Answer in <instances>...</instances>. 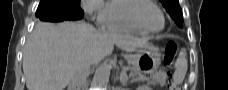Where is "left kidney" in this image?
I'll return each mask as SVG.
<instances>
[{"instance_id": "1", "label": "left kidney", "mask_w": 228, "mask_h": 90, "mask_svg": "<svg viewBox=\"0 0 228 90\" xmlns=\"http://www.w3.org/2000/svg\"><path fill=\"white\" fill-rule=\"evenodd\" d=\"M141 90H149V88L143 87V88H141Z\"/></svg>"}]
</instances>
